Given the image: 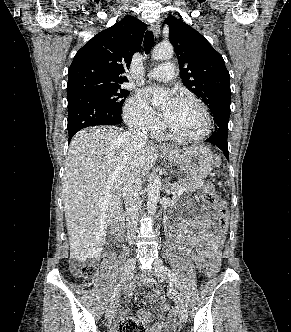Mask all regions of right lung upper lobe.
Returning <instances> with one entry per match:
<instances>
[{
	"mask_svg": "<svg viewBox=\"0 0 291 332\" xmlns=\"http://www.w3.org/2000/svg\"><path fill=\"white\" fill-rule=\"evenodd\" d=\"M146 28L137 18L127 16L89 40L70 65L67 98L127 81L124 73L132 55L140 50Z\"/></svg>",
	"mask_w": 291,
	"mask_h": 332,
	"instance_id": "1",
	"label": "right lung upper lobe"
}]
</instances>
